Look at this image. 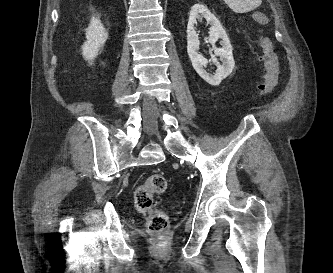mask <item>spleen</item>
Here are the masks:
<instances>
[{
    "mask_svg": "<svg viewBox=\"0 0 333 273\" xmlns=\"http://www.w3.org/2000/svg\"><path fill=\"white\" fill-rule=\"evenodd\" d=\"M230 9L236 13H246L259 7L262 0H224Z\"/></svg>",
    "mask_w": 333,
    "mask_h": 273,
    "instance_id": "3e777b00",
    "label": "spleen"
}]
</instances>
